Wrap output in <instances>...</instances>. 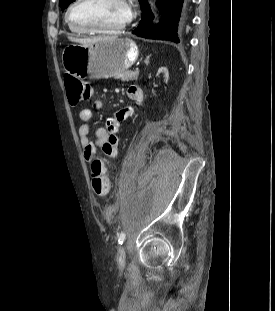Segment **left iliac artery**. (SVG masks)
I'll use <instances>...</instances> for the list:
<instances>
[{
	"instance_id": "44dca946",
	"label": "left iliac artery",
	"mask_w": 275,
	"mask_h": 311,
	"mask_svg": "<svg viewBox=\"0 0 275 311\" xmlns=\"http://www.w3.org/2000/svg\"><path fill=\"white\" fill-rule=\"evenodd\" d=\"M124 240H125V233L122 232V233L119 235L118 243H119L120 245H122L123 242H124Z\"/></svg>"
}]
</instances>
